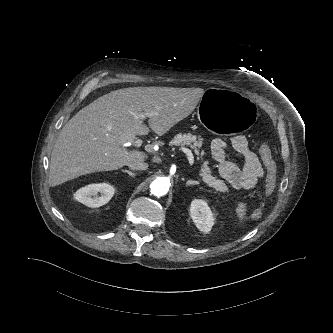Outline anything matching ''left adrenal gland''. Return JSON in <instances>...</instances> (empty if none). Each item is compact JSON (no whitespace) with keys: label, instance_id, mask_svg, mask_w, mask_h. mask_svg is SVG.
I'll return each instance as SVG.
<instances>
[{"label":"left adrenal gland","instance_id":"obj_1","mask_svg":"<svg viewBox=\"0 0 333 333\" xmlns=\"http://www.w3.org/2000/svg\"><path fill=\"white\" fill-rule=\"evenodd\" d=\"M186 185L187 186H191V185H199V182L198 181H194V180H188L186 182Z\"/></svg>","mask_w":333,"mask_h":333}]
</instances>
